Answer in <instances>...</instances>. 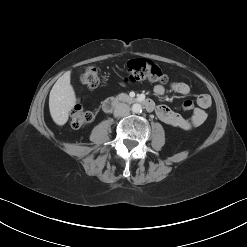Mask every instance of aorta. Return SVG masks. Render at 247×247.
I'll return each instance as SVG.
<instances>
[{"instance_id":"762f6f07","label":"aorta","mask_w":247,"mask_h":247,"mask_svg":"<svg viewBox=\"0 0 247 247\" xmlns=\"http://www.w3.org/2000/svg\"><path fill=\"white\" fill-rule=\"evenodd\" d=\"M131 110L133 113H141L142 112V106L139 103H135L132 105Z\"/></svg>"}]
</instances>
